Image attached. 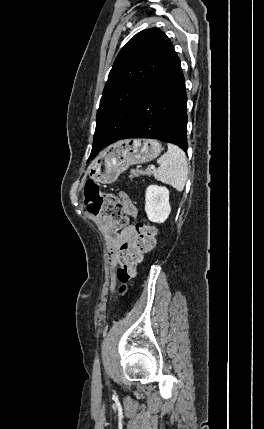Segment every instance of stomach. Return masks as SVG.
Returning a JSON list of instances; mask_svg holds the SVG:
<instances>
[{
  "label": "stomach",
  "mask_w": 264,
  "mask_h": 429,
  "mask_svg": "<svg viewBox=\"0 0 264 429\" xmlns=\"http://www.w3.org/2000/svg\"><path fill=\"white\" fill-rule=\"evenodd\" d=\"M155 139H129L108 147L91 164L88 175L101 184H111L130 165L149 162L161 153Z\"/></svg>",
  "instance_id": "1"
}]
</instances>
